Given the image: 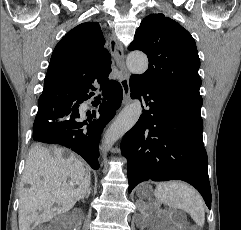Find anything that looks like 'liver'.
<instances>
[{
	"label": "liver",
	"mask_w": 241,
	"mask_h": 230,
	"mask_svg": "<svg viewBox=\"0 0 241 230\" xmlns=\"http://www.w3.org/2000/svg\"><path fill=\"white\" fill-rule=\"evenodd\" d=\"M64 152L39 145L29 151L20 191L19 230H31L33 223L69 211L86 195L91 184L89 168L73 153L64 157ZM24 184L29 187L23 188Z\"/></svg>",
	"instance_id": "6515ba94"
}]
</instances>
